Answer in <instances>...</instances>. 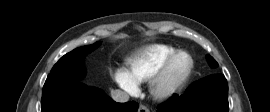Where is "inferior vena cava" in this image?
I'll return each instance as SVG.
<instances>
[{
    "label": "inferior vena cava",
    "mask_w": 270,
    "mask_h": 112,
    "mask_svg": "<svg viewBox=\"0 0 270 112\" xmlns=\"http://www.w3.org/2000/svg\"><path fill=\"white\" fill-rule=\"evenodd\" d=\"M111 97L114 101L124 103L129 100V95L121 90H112Z\"/></svg>",
    "instance_id": "obj_1"
}]
</instances>
